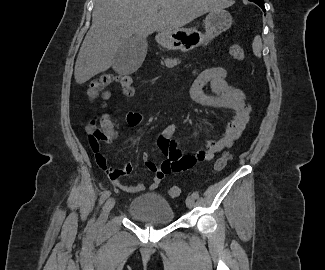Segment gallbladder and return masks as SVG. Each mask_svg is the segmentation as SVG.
<instances>
[{
	"label": "gallbladder",
	"instance_id": "1",
	"mask_svg": "<svg viewBox=\"0 0 325 270\" xmlns=\"http://www.w3.org/2000/svg\"><path fill=\"white\" fill-rule=\"evenodd\" d=\"M146 38L132 35L118 49L113 69L118 74H131L143 63L147 53Z\"/></svg>",
	"mask_w": 325,
	"mask_h": 270
}]
</instances>
